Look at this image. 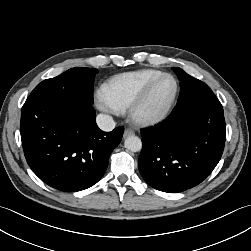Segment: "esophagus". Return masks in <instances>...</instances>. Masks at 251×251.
Here are the masks:
<instances>
[{"instance_id": "obj_1", "label": "esophagus", "mask_w": 251, "mask_h": 251, "mask_svg": "<svg viewBox=\"0 0 251 251\" xmlns=\"http://www.w3.org/2000/svg\"><path fill=\"white\" fill-rule=\"evenodd\" d=\"M134 134V131L133 130H131V129H126L125 131H124V138L125 137H128V136H131V135H133Z\"/></svg>"}]
</instances>
